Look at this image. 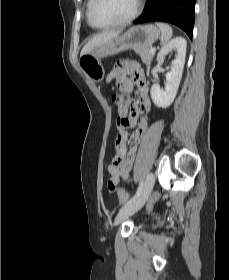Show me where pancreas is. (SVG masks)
I'll list each match as a JSON object with an SVG mask.
<instances>
[{
    "label": "pancreas",
    "instance_id": "pancreas-1",
    "mask_svg": "<svg viewBox=\"0 0 229 280\" xmlns=\"http://www.w3.org/2000/svg\"><path fill=\"white\" fill-rule=\"evenodd\" d=\"M134 51L140 55L145 64H149L154 57V53H151L149 49H135Z\"/></svg>",
    "mask_w": 229,
    "mask_h": 280
}]
</instances>
